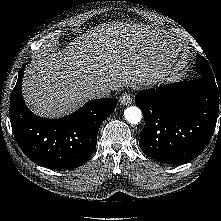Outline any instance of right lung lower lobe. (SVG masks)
Masks as SVG:
<instances>
[{
  "mask_svg": "<svg viewBox=\"0 0 221 221\" xmlns=\"http://www.w3.org/2000/svg\"><path fill=\"white\" fill-rule=\"evenodd\" d=\"M23 65L10 99V121L21 150L35 163L54 169H73L84 164L97 143L101 123L114 111L117 98L96 99L60 119L33 114L22 93Z\"/></svg>",
  "mask_w": 221,
  "mask_h": 221,
  "instance_id": "obj_1",
  "label": "right lung lower lobe"
}]
</instances>
